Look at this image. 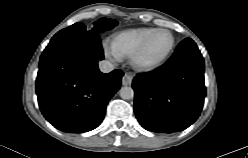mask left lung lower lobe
I'll return each mask as SVG.
<instances>
[{"label": "left lung lower lobe", "mask_w": 248, "mask_h": 158, "mask_svg": "<svg viewBox=\"0 0 248 158\" xmlns=\"http://www.w3.org/2000/svg\"><path fill=\"white\" fill-rule=\"evenodd\" d=\"M134 112L146 130L172 133L189 127L200 115L206 95L204 60L187 38L161 67L137 75Z\"/></svg>", "instance_id": "1"}]
</instances>
